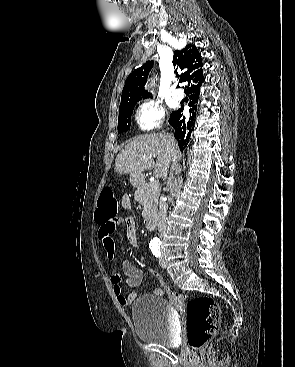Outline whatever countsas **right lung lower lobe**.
I'll use <instances>...</instances> for the list:
<instances>
[{
	"instance_id": "right-lung-lower-lobe-1",
	"label": "right lung lower lobe",
	"mask_w": 295,
	"mask_h": 367,
	"mask_svg": "<svg viewBox=\"0 0 295 367\" xmlns=\"http://www.w3.org/2000/svg\"><path fill=\"white\" fill-rule=\"evenodd\" d=\"M201 84L195 86L194 88H191L187 92L190 98V103H189V106L191 107L189 110L190 116L185 117L182 115V111L184 107L181 106V108L172 111L170 118H169V123L175 129L174 137L177 139L178 145L181 150H183L186 147V145L188 144L190 136H191V132L194 130V123H195V118H196V107H197V102L199 99Z\"/></svg>"
}]
</instances>
